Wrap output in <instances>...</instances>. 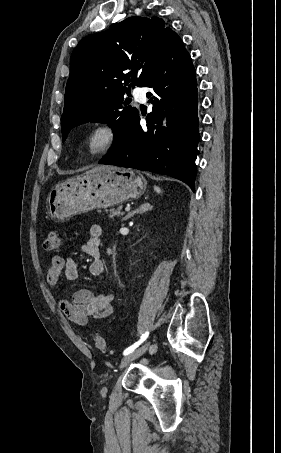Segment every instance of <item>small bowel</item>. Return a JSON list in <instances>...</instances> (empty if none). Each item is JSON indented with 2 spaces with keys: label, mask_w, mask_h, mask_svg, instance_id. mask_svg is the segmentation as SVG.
<instances>
[{
  "label": "small bowel",
  "mask_w": 281,
  "mask_h": 453,
  "mask_svg": "<svg viewBox=\"0 0 281 453\" xmlns=\"http://www.w3.org/2000/svg\"><path fill=\"white\" fill-rule=\"evenodd\" d=\"M102 235V227L94 224L89 228V237L84 242L83 251L92 257L87 271L90 276L100 277L104 272V263L100 254L99 238ZM70 280L77 279L79 275L76 261L71 257H63L53 254L50 257V268L45 273L47 283L62 291L66 290L60 282L61 272ZM114 295L108 292H94L90 288L78 289L73 292L70 300L59 302L61 311L74 323L82 327L87 325L90 319H102L109 316L112 311Z\"/></svg>",
  "instance_id": "1"
}]
</instances>
